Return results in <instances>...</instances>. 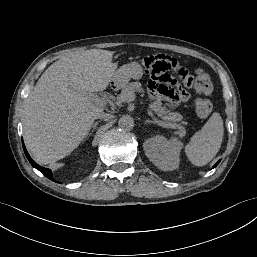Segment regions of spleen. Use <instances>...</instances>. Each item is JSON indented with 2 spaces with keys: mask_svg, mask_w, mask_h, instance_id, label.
<instances>
[{
  "mask_svg": "<svg viewBox=\"0 0 257 257\" xmlns=\"http://www.w3.org/2000/svg\"><path fill=\"white\" fill-rule=\"evenodd\" d=\"M223 136V120L220 114L215 112L185 146V153L190 162L195 166H204L209 163L218 153Z\"/></svg>",
  "mask_w": 257,
  "mask_h": 257,
  "instance_id": "1",
  "label": "spleen"
}]
</instances>
